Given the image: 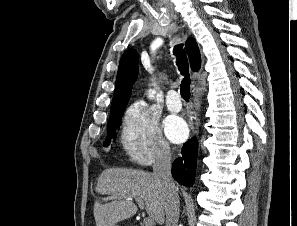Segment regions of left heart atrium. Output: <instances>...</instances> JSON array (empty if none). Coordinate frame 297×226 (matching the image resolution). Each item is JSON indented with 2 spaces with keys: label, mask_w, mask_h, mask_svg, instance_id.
<instances>
[{
  "label": "left heart atrium",
  "mask_w": 297,
  "mask_h": 226,
  "mask_svg": "<svg viewBox=\"0 0 297 226\" xmlns=\"http://www.w3.org/2000/svg\"><path fill=\"white\" fill-rule=\"evenodd\" d=\"M164 129L167 137L175 143L184 141L188 135V127L185 121L175 115L168 116L165 119Z\"/></svg>",
  "instance_id": "39dd6f15"
}]
</instances>
